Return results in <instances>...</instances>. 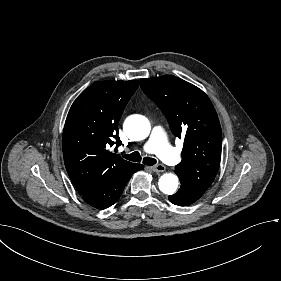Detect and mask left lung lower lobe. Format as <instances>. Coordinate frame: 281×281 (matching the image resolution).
<instances>
[{
    "label": "left lung lower lobe",
    "instance_id": "obj_1",
    "mask_svg": "<svg viewBox=\"0 0 281 281\" xmlns=\"http://www.w3.org/2000/svg\"><path fill=\"white\" fill-rule=\"evenodd\" d=\"M181 182V187L177 193L168 197L169 201L178 206H188L197 201L204 192L194 188L192 185Z\"/></svg>",
    "mask_w": 281,
    "mask_h": 281
}]
</instances>
